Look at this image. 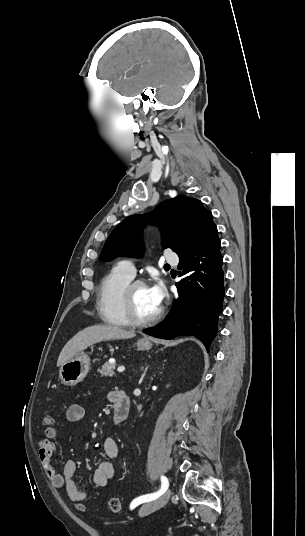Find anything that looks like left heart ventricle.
I'll return each instance as SVG.
<instances>
[{
  "mask_svg": "<svg viewBox=\"0 0 305 536\" xmlns=\"http://www.w3.org/2000/svg\"><path fill=\"white\" fill-rule=\"evenodd\" d=\"M131 300L135 311L141 316H149L158 309L151 303L149 286L147 285L134 287L131 293Z\"/></svg>",
  "mask_w": 305,
  "mask_h": 536,
  "instance_id": "obj_1",
  "label": "left heart ventricle"
}]
</instances>
